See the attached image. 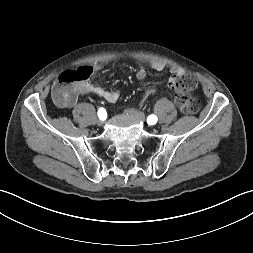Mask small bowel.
<instances>
[{"instance_id": "obj_1", "label": "small bowel", "mask_w": 253, "mask_h": 253, "mask_svg": "<svg viewBox=\"0 0 253 253\" xmlns=\"http://www.w3.org/2000/svg\"><path fill=\"white\" fill-rule=\"evenodd\" d=\"M152 67L158 72L164 69V66L161 63H153ZM90 69H91V72H93V71L98 70L99 68H90ZM170 72L172 75L171 78L175 76H179L184 73L183 69L179 67H172L170 69ZM146 76H147V72L143 67L137 70L136 77L139 81L143 82ZM79 94H82V95L95 94L110 103L117 101L119 98V92L117 90H105L102 87L93 85L89 81H82L76 84L75 86V98L73 99V101L65 106H68V107L73 106Z\"/></svg>"}]
</instances>
